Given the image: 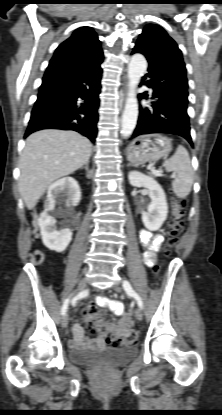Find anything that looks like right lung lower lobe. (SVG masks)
<instances>
[{
	"instance_id": "98d812e1",
	"label": "right lung lower lobe",
	"mask_w": 222,
	"mask_h": 415,
	"mask_svg": "<svg viewBox=\"0 0 222 415\" xmlns=\"http://www.w3.org/2000/svg\"><path fill=\"white\" fill-rule=\"evenodd\" d=\"M102 61L87 65L49 63L25 137L41 129L74 130L94 143Z\"/></svg>"
}]
</instances>
